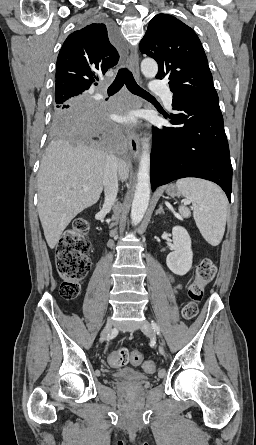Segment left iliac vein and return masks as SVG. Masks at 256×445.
<instances>
[{
  "instance_id": "left-iliac-vein-1",
  "label": "left iliac vein",
  "mask_w": 256,
  "mask_h": 445,
  "mask_svg": "<svg viewBox=\"0 0 256 445\" xmlns=\"http://www.w3.org/2000/svg\"><path fill=\"white\" fill-rule=\"evenodd\" d=\"M141 331L145 335H147V336H154L155 335L154 328L152 327V325L148 321H145V322L142 323ZM159 352L162 355H165V349H164V347L161 344L159 345Z\"/></svg>"
}]
</instances>
